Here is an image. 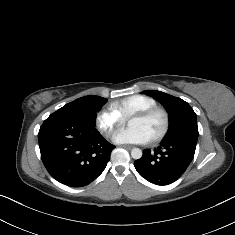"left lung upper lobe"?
Here are the masks:
<instances>
[{
  "label": "left lung upper lobe",
  "mask_w": 235,
  "mask_h": 235,
  "mask_svg": "<svg viewBox=\"0 0 235 235\" xmlns=\"http://www.w3.org/2000/svg\"><path fill=\"white\" fill-rule=\"evenodd\" d=\"M142 93L158 100L169 113V129L164 140L185 139L197 143L196 114L186 101L157 90Z\"/></svg>",
  "instance_id": "left-lung-upper-lobe-1"
}]
</instances>
